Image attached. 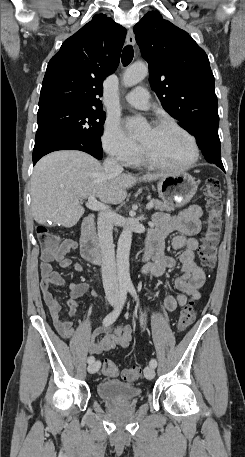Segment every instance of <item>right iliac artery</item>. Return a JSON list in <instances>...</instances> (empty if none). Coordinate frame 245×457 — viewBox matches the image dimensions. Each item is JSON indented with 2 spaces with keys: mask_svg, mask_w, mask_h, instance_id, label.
<instances>
[{
  "mask_svg": "<svg viewBox=\"0 0 245 457\" xmlns=\"http://www.w3.org/2000/svg\"><path fill=\"white\" fill-rule=\"evenodd\" d=\"M127 291H128V289L126 287H121L120 288L118 302H117L116 306L114 307L113 311L110 312L104 318V320H103V325L104 326H108V325L112 324L117 319L119 314L121 313V311L123 309V306H124V303H125L126 298H127ZM94 361H95L94 356H89L88 357V363L89 364L94 362Z\"/></svg>",
  "mask_w": 245,
  "mask_h": 457,
  "instance_id": "82829eb1",
  "label": "right iliac artery"
}]
</instances>
